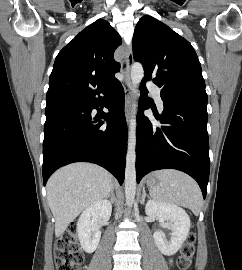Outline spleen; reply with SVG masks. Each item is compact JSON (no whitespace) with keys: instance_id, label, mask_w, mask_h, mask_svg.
I'll return each instance as SVG.
<instances>
[{"instance_id":"obj_1","label":"spleen","mask_w":242,"mask_h":270,"mask_svg":"<svg viewBox=\"0 0 242 270\" xmlns=\"http://www.w3.org/2000/svg\"><path fill=\"white\" fill-rule=\"evenodd\" d=\"M159 183L151 189V196L159 202L189 208L198 215L203 199L201 190L194 179L183 172L165 169L154 174Z\"/></svg>"}]
</instances>
